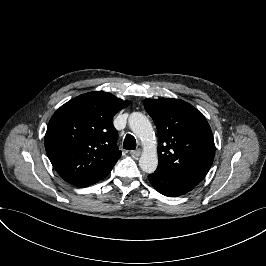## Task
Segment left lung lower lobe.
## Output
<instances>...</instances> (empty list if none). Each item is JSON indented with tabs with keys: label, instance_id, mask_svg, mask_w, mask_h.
I'll return each instance as SVG.
<instances>
[{
	"label": "left lung lower lobe",
	"instance_id": "left-lung-lower-lobe-1",
	"mask_svg": "<svg viewBox=\"0 0 266 266\" xmlns=\"http://www.w3.org/2000/svg\"><path fill=\"white\" fill-rule=\"evenodd\" d=\"M148 179L158 192L168 197H177L186 194L195 187L191 183L182 181L158 170L148 175Z\"/></svg>",
	"mask_w": 266,
	"mask_h": 266
}]
</instances>
